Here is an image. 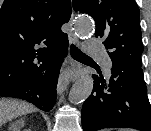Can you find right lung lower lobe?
<instances>
[{
    "mask_svg": "<svg viewBox=\"0 0 151 131\" xmlns=\"http://www.w3.org/2000/svg\"><path fill=\"white\" fill-rule=\"evenodd\" d=\"M67 54L68 41L56 45L40 69L0 92V96L23 99L43 111H50L56 102L59 70Z\"/></svg>",
    "mask_w": 151,
    "mask_h": 131,
    "instance_id": "obj_1",
    "label": "right lung lower lobe"
}]
</instances>
